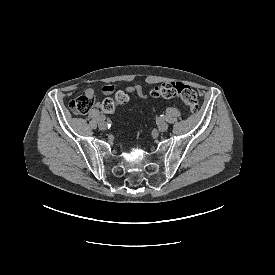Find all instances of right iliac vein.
Returning <instances> with one entry per match:
<instances>
[{
    "mask_svg": "<svg viewBox=\"0 0 275 275\" xmlns=\"http://www.w3.org/2000/svg\"><path fill=\"white\" fill-rule=\"evenodd\" d=\"M98 126L101 130H106V128H107L106 122L104 120H101L99 122Z\"/></svg>",
    "mask_w": 275,
    "mask_h": 275,
    "instance_id": "right-iliac-vein-1",
    "label": "right iliac vein"
}]
</instances>
